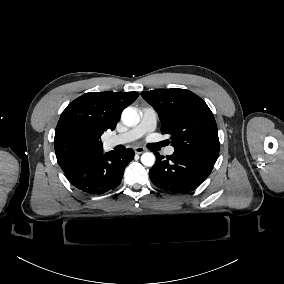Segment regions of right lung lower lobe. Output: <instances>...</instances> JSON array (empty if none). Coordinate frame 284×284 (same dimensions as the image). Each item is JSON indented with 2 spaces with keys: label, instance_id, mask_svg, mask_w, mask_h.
I'll use <instances>...</instances> for the list:
<instances>
[{
  "label": "right lung lower lobe",
  "instance_id": "98d812e1",
  "mask_svg": "<svg viewBox=\"0 0 284 284\" xmlns=\"http://www.w3.org/2000/svg\"><path fill=\"white\" fill-rule=\"evenodd\" d=\"M134 158V151L102 153L66 174L79 190L90 195H101L115 189L122 180L124 170Z\"/></svg>",
  "mask_w": 284,
  "mask_h": 284
}]
</instances>
